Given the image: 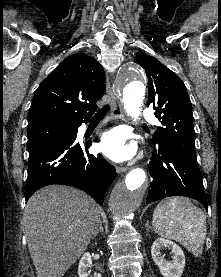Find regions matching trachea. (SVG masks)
Returning <instances> with one entry per match:
<instances>
[{"label": "trachea", "mask_w": 221, "mask_h": 277, "mask_svg": "<svg viewBox=\"0 0 221 277\" xmlns=\"http://www.w3.org/2000/svg\"><path fill=\"white\" fill-rule=\"evenodd\" d=\"M109 110L110 106L103 107L94 115L93 119H102Z\"/></svg>", "instance_id": "3493384b"}]
</instances>
